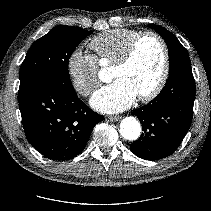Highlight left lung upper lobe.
<instances>
[{"instance_id": "1", "label": "left lung upper lobe", "mask_w": 211, "mask_h": 211, "mask_svg": "<svg viewBox=\"0 0 211 211\" xmlns=\"http://www.w3.org/2000/svg\"><path fill=\"white\" fill-rule=\"evenodd\" d=\"M151 27L162 35L167 44L170 72L181 65L191 64L187 50L171 32L159 25H151Z\"/></svg>"}]
</instances>
